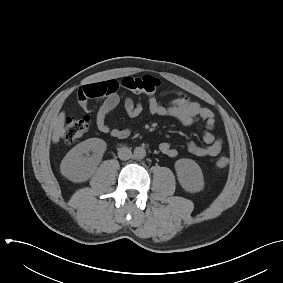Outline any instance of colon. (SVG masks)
I'll use <instances>...</instances> for the list:
<instances>
[{
  "instance_id": "1",
  "label": "colon",
  "mask_w": 283,
  "mask_h": 283,
  "mask_svg": "<svg viewBox=\"0 0 283 283\" xmlns=\"http://www.w3.org/2000/svg\"><path fill=\"white\" fill-rule=\"evenodd\" d=\"M160 85L157 78L152 76L143 77H125L119 82V89H124L132 93H154ZM89 127V118L87 116L82 118H68L64 127V141L72 144L80 139ZM229 160L226 157L218 158L214 166L217 169H224L228 166Z\"/></svg>"
}]
</instances>
